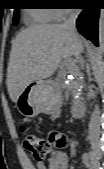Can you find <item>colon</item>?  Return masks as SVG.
<instances>
[{"instance_id": "obj_1", "label": "colon", "mask_w": 104, "mask_h": 169, "mask_svg": "<svg viewBox=\"0 0 104 169\" xmlns=\"http://www.w3.org/2000/svg\"><path fill=\"white\" fill-rule=\"evenodd\" d=\"M22 131L24 133L25 148L38 162H43L46 159L52 144H56L58 147L64 145L63 140H56L58 136L56 132H51L47 136H43L29 132L26 128H23Z\"/></svg>"}]
</instances>
